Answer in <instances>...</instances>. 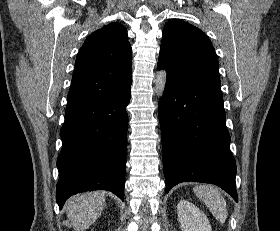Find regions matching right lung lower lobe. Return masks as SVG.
<instances>
[{
    "instance_id": "right-lung-lower-lobe-1",
    "label": "right lung lower lobe",
    "mask_w": 280,
    "mask_h": 231,
    "mask_svg": "<svg viewBox=\"0 0 280 231\" xmlns=\"http://www.w3.org/2000/svg\"><path fill=\"white\" fill-rule=\"evenodd\" d=\"M130 88L66 108L60 130L56 200L60 208L73 194L108 190L124 200Z\"/></svg>"
}]
</instances>
